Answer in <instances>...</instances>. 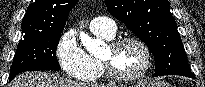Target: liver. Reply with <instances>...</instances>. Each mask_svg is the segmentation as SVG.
I'll use <instances>...</instances> for the list:
<instances>
[{
    "mask_svg": "<svg viewBox=\"0 0 205 87\" xmlns=\"http://www.w3.org/2000/svg\"><path fill=\"white\" fill-rule=\"evenodd\" d=\"M9 87H115L104 84H85L67 80L46 72H26L18 75Z\"/></svg>",
    "mask_w": 205,
    "mask_h": 87,
    "instance_id": "obj_1",
    "label": "liver"
}]
</instances>
